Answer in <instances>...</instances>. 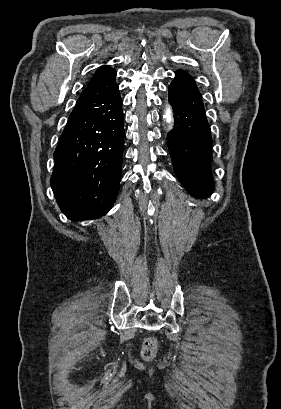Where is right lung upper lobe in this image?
<instances>
[{
    "label": "right lung upper lobe",
    "mask_w": 281,
    "mask_h": 409,
    "mask_svg": "<svg viewBox=\"0 0 281 409\" xmlns=\"http://www.w3.org/2000/svg\"><path fill=\"white\" fill-rule=\"evenodd\" d=\"M114 69L110 68L109 66H102L100 69H98L89 82L88 86L93 85L94 83L100 81L102 78H104L107 74L113 72Z\"/></svg>",
    "instance_id": "1"
}]
</instances>
